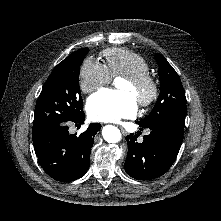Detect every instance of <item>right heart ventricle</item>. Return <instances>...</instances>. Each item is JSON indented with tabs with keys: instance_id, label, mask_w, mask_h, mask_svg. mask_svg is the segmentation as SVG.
Listing matches in <instances>:
<instances>
[{
	"instance_id": "right-heart-ventricle-1",
	"label": "right heart ventricle",
	"mask_w": 221,
	"mask_h": 221,
	"mask_svg": "<svg viewBox=\"0 0 221 221\" xmlns=\"http://www.w3.org/2000/svg\"><path fill=\"white\" fill-rule=\"evenodd\" d=\"M102 59L111 78L150 71V65L143 56L127 49H106L102 52Z\"/></svg>"
}]
</instances>
